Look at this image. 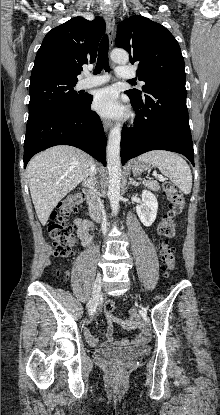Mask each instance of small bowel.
Listing matches in <instances>:
<instances>
[{
  "label": "small bowel",
  "instance_id": "obj_1",
  "mask_svg": "<svg viewBox=\"0 0 220 415\" xmlns=\"http://www.w3.org/2000/svg\"><path fill=\"white\" fill-rule=\"evenodd\" d=\"M75 225L77 227V235L80 239L81 243L84 246H89L92 242L93 236L91 235L90 231L93 229V224L87 218H77L75 220ZM83 334L85 339L87 340L88 344L92 347H98L102 352L107 351L111 348L113 344H117L118 346L125 347L128 345H142L143 343V336H139L133 340H119L114 341L112 337V329H109V338L105 341L100 343L97 338L93 335L89 327H85L83 329Z\"/></svg>",
  "mask_w": 220,
  "mask_h": 415
}]
</instances>
